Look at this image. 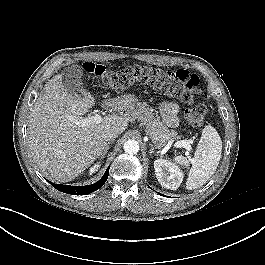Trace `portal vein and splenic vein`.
<instances>
[{
	"label": "portal vein and splenic vein",
	"instance_id": "portal-vein-and-splenic-vein-1",
	"mask_svg": "<svg viewBox=\"0 0 265 265\" xmlns=\"http://www.w3.org/2000/svg\"><path fill=\"white\" fill-rule=\"evenodd\" d=\"M73 121L76 125L84 127L100 123L102 121V117L99 114H94L93 116L86 118L73 119ZM174 146L177 148H186L188 151L191 149L190 142L188 141H178L174 144Z\"/></svg>",
	"mask_w": 265,
	"mask_h": 265
}]
</instances>
